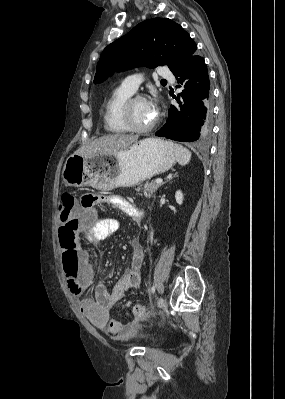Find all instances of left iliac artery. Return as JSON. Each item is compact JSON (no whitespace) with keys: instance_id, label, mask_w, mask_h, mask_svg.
Segmentation results:
<instances>
[{"instance_id":"1","label":"left iliac artery","mask_w":285,"mask_h":399,"mask_svg":"<svg viewBox=\"0 0 285 399\" xmlns=\"http://www.w3.org/2000/svg\"><path fill=\"white\" fill-rule=\"evenodd\" d=\"M151 292H152V293L155 292V287H154V286L151 288Z\"/></svg>"}]
</instances>
